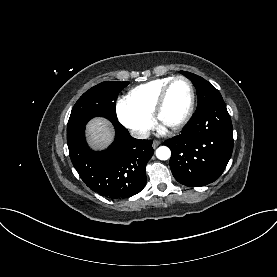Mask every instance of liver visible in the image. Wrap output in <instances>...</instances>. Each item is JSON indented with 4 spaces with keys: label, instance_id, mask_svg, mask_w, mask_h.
<instances>
[{
    "label": "liver",
    "instance_id": "6515ba94",
    "mask_svg": "<svg viewBox=\"0 0 277 277\" xmlns=\"http://www.w3.org/2000/svg\"><path fill=\"white\" fill-rule=\"evenodd\" d=\"M87 136L94 149H104L112 142L114 132L106 119L95 118L87 125Z\"/></svg>",
    "mask_w": 277,
    "mask_h": 277
}]
</instances>
